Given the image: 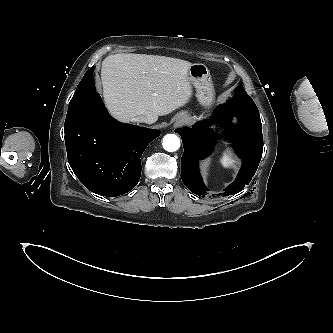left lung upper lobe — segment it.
<instances>
[{
  "label": "left lung upper lobe",
  "instance_id": "5c2ea615",
  "mask_svg": "<svg viewBox=\"0 0 333 333\" xmlns=\"http://www.w3.org/2000/svg\"><path fill=\"white\" fill-rule=\"evenodd\" d=\"M235 98H238L240 100L243 101H247V102H253V100L251 99V97L246 93V91L244 90L242 85H239L236 89H235Z\"/></svg>",
  "mask_w": 333,
  "mask_h": 333
}]
</instances>
